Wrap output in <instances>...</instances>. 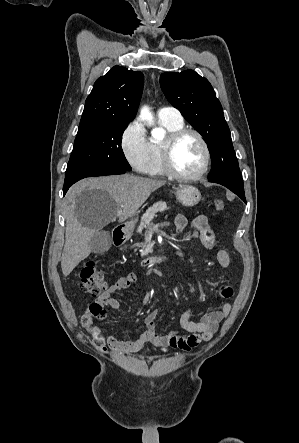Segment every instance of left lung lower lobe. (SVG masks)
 <instances>
[{
	"label": "left lung lower lobe",
	"mask_w": 299,
	"mask_h": 443,
	"mask_svg": "<svg viewBox=\"0 0 299 443\" xmlns=\"http://www.w3.org/2000/svg\"><path fill=\"white\" fill-rule=\"evenodd\" d=\"M209 182L218 183V184H221V185L227 187L232 192L237 194L246 203L243 183L232 181V180H226V179H209Z\"/></svg>",
	"instance_id": "left-lung-lower-lobe-1"
}]
</instances>
